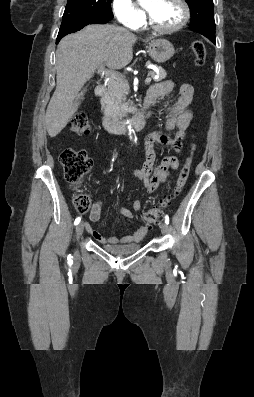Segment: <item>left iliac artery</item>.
<instances>
[{"mask_svg":"<svg viewBox=\"0 0 254 397\" xmlns=\"http://www.w3.org/2000/svg\"><path fill=\"white\" fill-rule=\"evenodd\" d=\"M164 220L166 224H169V217L167 215L164 216Z\"/></svg>","mask_w":254,"mask_h":397,"instance_id":"1","label":"left iliac artery"}]
</instances>
